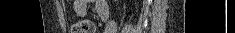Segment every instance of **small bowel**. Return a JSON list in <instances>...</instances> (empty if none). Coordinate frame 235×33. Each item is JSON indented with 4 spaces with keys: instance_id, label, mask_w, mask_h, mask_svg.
<instances>
[{
    "instance_id": "obj_1",
    "label": "small bowel",
    "mask_w": 235,
    "mask_h": 33,
    "mask_svg": "<svg viewBox=\"0 0 235 33\" xmlns=\"http://www.w3.org/2000/svg\"><path fill=\"white\" fill-rule=\"evenodd\" d=\"M87 0H77L74 3V8L78 13H83L87 7ZM95 10L99 14V16L103 19H108V6L105 1L97 0L95 1ZM116 25L113 21H109L105 33H115Z\"/></svg>"
}]
</instances>
